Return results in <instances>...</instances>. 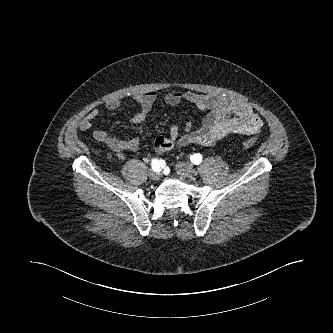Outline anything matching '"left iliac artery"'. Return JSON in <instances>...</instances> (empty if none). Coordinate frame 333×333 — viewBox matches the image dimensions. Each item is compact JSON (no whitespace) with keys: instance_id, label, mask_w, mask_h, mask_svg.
<instances>
[{"instance_id":"1","label":"left iliac artery","mask_w":333,"mask_h":333,"mask_svg":"<svg viewBox=\"0 0 333 333\" xmlns=\"http://www.w3.org/2000/svg\"><path fill=\"white\" fill-rule=\"evenodd\" d=\"M191 161L196 164V165H199L202 161V156L201 154L199 153H196V154H193L191 157H190Z\"/></svg>"}]
</instances>
